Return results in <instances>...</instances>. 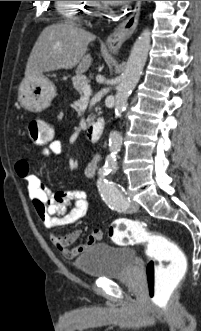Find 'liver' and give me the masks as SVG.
<instances>
[{"mask_svg": "<svg viewBox=\"0 0 201 331\" xmlns=\"http://www.w3.org/2000/svg\"><path fill=\"white\" fill-rule=\"evenodd\" d=\"M95 39V35L73 22L47 26L30 53L25 78H36L45 72L72 69L75 66L77 75L84 73L92 63L91 55L86 54L87 46Z\"/></svg>", "mask_w": 201, "mask_h": 331, "instance_id": "obj_1", "label": "liver"}]
</instances>
